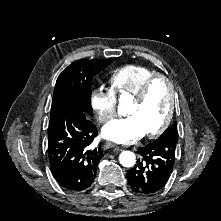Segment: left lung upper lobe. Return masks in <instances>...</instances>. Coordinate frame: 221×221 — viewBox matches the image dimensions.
Here are the masks:
<instances>
[{"mask_svg":"<svg viewBox=\"0 0 221 221\" xmlns=\"http://www.w3.org/2000/svg\"><path fill=\"white\" fill-rule=\"evenodd\" d=\"M160 137L169 138V139H173V140L177 141L178 140V131H177L176 122L172 126L167 128L165 130V132Z\"/></svg>","mask_w":221,"mask_h":221,"instance_id":"5c2ea615","label":"left lung upper lobe"}]
</instances>
